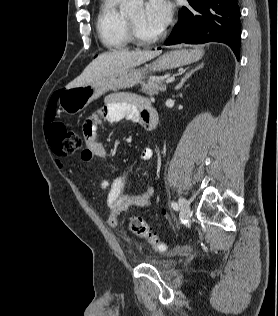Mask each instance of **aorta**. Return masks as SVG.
<instances>
[{
    "instance_id": "1",
    "label": "aorta",
    "mask_w": 278,
    "mask_h": 316,
    "mask_svg": "<svg viewBox=\"0 0 278 316\" xmlns=\"http://www.w3.org/2000/svg\"><path fill=\"white\" fill-rule=\"evenodd\" d=\"M143 0H129L125 7L122 9L124 13H133L141 8Z\"/></svg>"
}]
</instances>
